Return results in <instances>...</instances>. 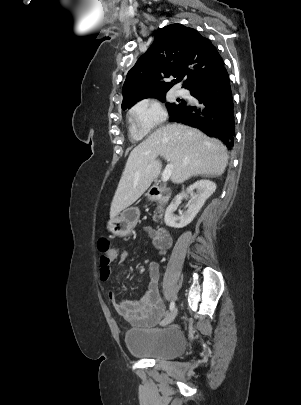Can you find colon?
Listing matches in <instances>:
<instances>
[{
    "instance_id": "colon-1",
    "label": "colon",
    "mask_w": 301,
    "mask_h": 405,
    "mask_svg": "<svg viewBox=\"0 0 301 405\" xmlns=\"http://www.w3.org/2000/svg\"><path fill=\"white\" fill-rule=\"evenodd\" d=\"M98 249L101 253V257L106 258L111 250L109 241L105 238H101L98 241Z\"/></svg>"
}]
</instances>
